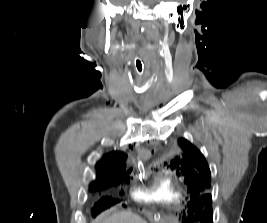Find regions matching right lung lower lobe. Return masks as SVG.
<instances>
[{"instance_id":"1","label":"right lung lower lobe","mask_w":267,"mask_h":223,"mask_svg":"<svg viewBox=\"0 0 267 223\" xmlns=\"http://www.w3.org/2000/svg\"><path fill=\"white\" fill-rule=\"evenodd\" d=\"M109 187V186H108ZM91 189H103V188H107V187H101V188H98L97 186H95L93 183L91 184L90 186Z\"/></svg>"}]
</instances>
